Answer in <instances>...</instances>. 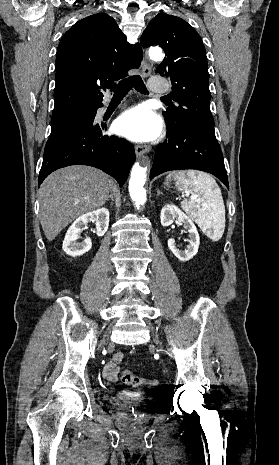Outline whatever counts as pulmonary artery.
Instances as JSON below:
<instances>
[{"label":"pulmonary artery","mask_w":279,"mask_h":465,"mask_svg":"<svg viewBox=\"0 0 279 465\" xmlns=\"http://www.w3.org/2000/svg\"><path fill=\"white\" fill-rule=\"evenodd\" d=\"M150 89L154 93L163 94L168 91V87L161 81V79L154 77L150 81Z\"/></svg>","instance_id":"1"}]
</instances>
